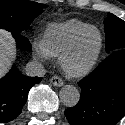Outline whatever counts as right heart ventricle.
I'll return each instance as SVG.
<instances>
[{
	"instance_id": "1",
	"label": "right heart ventricle",
	"mask_w": 125,
	"mask_h": 125,
	"mask_svg": "<svg viewBox=\"0 0 125 125\" xmlns=\"http://www.w3.org/2000/svg\"><path fill=\"white\" fill-rule=\"evenodd\" d=\"M90 24L77 19L52 22L47 25L43 33V40L53 56H59L71 38Z\"/></svg>"
}]
</instances>
